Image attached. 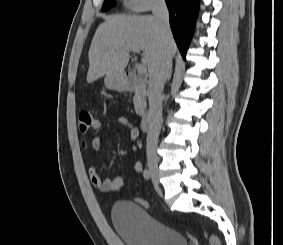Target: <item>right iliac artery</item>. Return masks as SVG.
Returning <instances> with one entry per match:
<instances>
[{
  "label": "right iliac artery",
  "mask_w": 283,
  "mask_h": 245,
  "mask_svg": "<svg viewBox=\"0 0 283 245\" xmlns=\"http://www.w3.org/2000/svg\"><path fill=\"white\" fill-rule=\"evenodd\" d=\"M143 176L146 180H149L151 178V174H150V171L148 169H145L143 171Z\"/></svg>",
  "instance_id": "obj_1"
}]
</instances>
